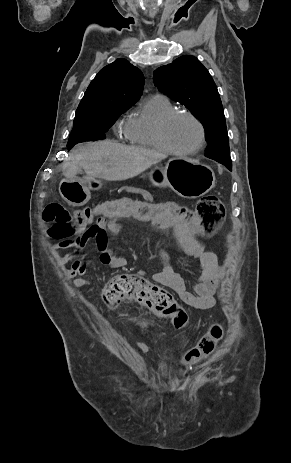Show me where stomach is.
Listing matches in <instances>:
<instances>
[{"mask_svg":"<svg viewBox=\"0 0 291 463\" xmlns=\"http://www.w3.org/2000/svg\"><path fill=\"white\" fill-rule=\"evenodd\" d=\"M163 176L178 195L189 199L201 197L215 186V174L209 166L185 157L169 159ZM90 188V185L77 178H66L59 184L62 198L74 206H81L90 199Z\"/></svg>","mask_w":291,"mask_h":463,"instance_id":"1","label":"stomach"}]
</instances>
